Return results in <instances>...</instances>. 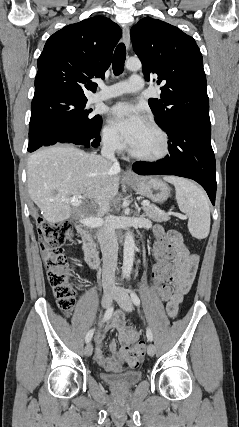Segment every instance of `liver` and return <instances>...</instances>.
Instances as JSON below:
<instances>
[{
	"label": "liver",
	"instance_id": "liver-1",
	"mask_svg": "<svg viewBox=\"0 0 239 427\" xmlns=\"http://www.w3.org/2000/svg\"><path fill=\"white\" fill-rule=\"evenodd\" d=\"M119 173L110 160L97 154L68 145L50 146L28 158V193L49 223L84 214L101 217L110 210L118 192ZM71 196L92 199L95 211L85 213L81 199L73 205Z\"/></svg>",
	"mask_w": 239,
	"mask_h": 427
}]
</instances>
